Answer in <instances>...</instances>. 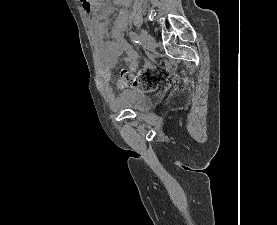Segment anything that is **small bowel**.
Here are the masks:
<instances>
[{"mask_svg": "<svg viewBox=\"0 0 277 225\" xmlns=\"http://www.w3.org/2000/svg\"><path fill=\"white\" fill-rule=\"evenodd\" d=\"M127 3L128 0H112L113 6L120 4L126 5ZM83 5L87 12L92 13L89 21V28L104 65V91L109 102L115 103L116 95L108 84V81L110 78L111 68L113 67L117 57L121 54H126L128 57H130L131 71H135L138 66L136 61V54L133 49L125 42L122 34L126 13L123 12L121 16L114 21L113 26L110 29L111 38L108 41H105L107 35V17L111 12V8H102L99 14H96L93 7L91 5H88L87 2H84ZM117 85L119 88L122 89L125 85L124 79H119Z\"/></svg>", "mask_w": 277, "mask_h": 225, "instance_id": "obj_1", "label": "small bowel"}]
</instances>
